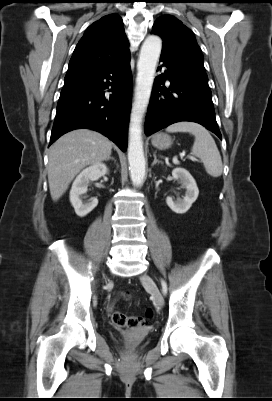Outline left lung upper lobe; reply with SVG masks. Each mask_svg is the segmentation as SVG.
Here are the masks:
<instances>
[{
	"mask_svg": "<svg viewBox=\"0 0 272 401\" xmlns=\"http://www.w3.org/2000/svg\"><path fill=\"white\" fill-rule=\"evenodd\" d=\"M152 33L163 39L161 54L205 71L203 55L195 36L181 21L171 15H163L155 21Z\"/></svg>",
	"mask_w": 272,
	"mask_h": 401,
	"instance_id": "left-lung-upper-lobe-1",
	"label": "left lung upper lobe"
}]
</instances>
